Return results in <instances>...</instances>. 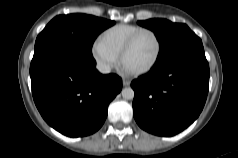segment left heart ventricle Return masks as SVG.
<instances>
[{
	"instance_id": "left-heart-ventricle-1",
	"label": "left heart ventricle",
	"mask_w": 238,
	"mask_h": 158,
	"mask_svg": "<svg viewBox=\"0 0 238 158\" xmlns=\"http://www.w3.org/2000/svg\"><path fill=\"white\" fill-rule=\"evenodd\" d=\"M156 50L157 45L154 37L149 33L142 34L126 55L125 67L129 70H139L146 67L153 60Z\"/></svg>"
}]
</instances>
